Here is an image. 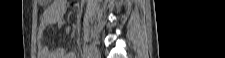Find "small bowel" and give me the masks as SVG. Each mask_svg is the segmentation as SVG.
Instances as JSON below:
<instances>
[{"mask_svg":"<svg viewBox=\"0 0 225 58\" xmlns=\"http://www.w3.org/2000/svg\"><path fill=\"white\" fill-rule=\"evenodd\" d=\"M66 12V2L64 0L52 1L46 6L40 17L38 26V53L40 58H76L74 52L65 53L60 47L51 48L44 45V36L48 28L52 25H62V17ZM69 27L64 29L65 33H68Z\"/></svg>","mask_w":225,"mask_h":58,"instance_id":"1","label":"small bowel"}]
</instances>
